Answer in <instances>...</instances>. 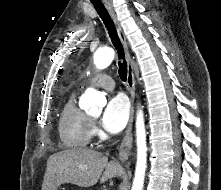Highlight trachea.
Returning a JSON list of instances; mask_svg holds the SVG:
<instances>
[{"label": "trachea", "mask_w": 221, "mask_h": 190, "mask_svg": "<svg viewBox=\"0 0 221 190\" xmlns=\"http://www.w3.org/2000/svg\"><path fill=\"white\" fill-rule=\"evenodd\" d=\"M92 4L94 5L97 13L101 17V19H102V21H103V23H104V25H105V27L108 31V34L111 38V41H112L115 49L117 50L118 57H119V62H118L119 76H120L122 81H126V79H127V64H126V61H125V58H124L123 46H122V43H121V41L118 37L117 30L115 28L114 22L111 19L109 13L105 9L102 2L92 0Z\"/></svg>", "instance_id": "3493384b"}]
</instances>
